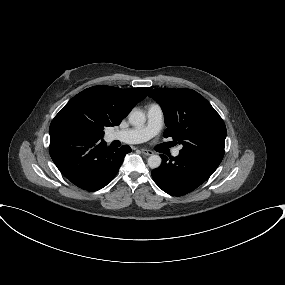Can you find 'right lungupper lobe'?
<instances>
[{
	"label": "right lung upper lobe",
	"instance_id": "obj_1",
	"mask_svg": "<svg viewBox=\"0 0 285 285\" xmlns=\"http://www.w3.org/2000/svg\"><path fill=\"white\" fill-rule=\"evenodd\" d=\"M152 88L121 89L93 86L74 96L55 116L49 128L50 136L69 135L72 128L89 131L98 142L105 127L119 125L132 108L143 100Z\"/></svg>",
	"mask_w": 285,
	"mask_h": 285
}]
</instances>
